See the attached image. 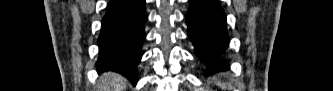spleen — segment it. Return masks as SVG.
<instances>
[{
	"mask_svg": "<svg viewBox=\"0 0 333 91\" xmlns=\"http://www.w3.org/2000/svg\"><path fill=\"white\" fill-rule=\"evenodd\" d=\"M217 84H218L219 86L221 85V83H220V82H218Z\"/></svg>",
	"mask_w": 333,
	"mask_h": 91,
	"instance_id": "spleen-1",
	"label": "spleen"
}]
</instances>
